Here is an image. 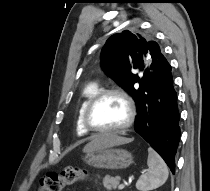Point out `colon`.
I'll list each match as a JSON object with an SVG mask.
<instances>
[{
    "label": "colon",
    "instance_id": "colon-1",
    "mask_svg": "<svg viewBox=\"0 0 210 191\" xmlns=\"http://www.w3.org/2000/svg\"><path fill=\"white\" fill-rule=\"evenodd\" d=\"M87 178L88 172L86 169L69 166L59 173H47L40 179L37 191H61L63 187L84 181Z\"/></svg>",
    "mask_w": 210,
    "mask_h": 191
}]
</instances>
